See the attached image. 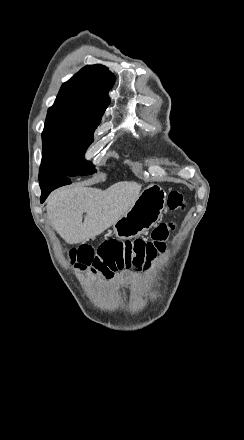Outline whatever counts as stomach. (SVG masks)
<instances>
[{
	"label": "stomach",
	"instance_id": "stomach-1",
	"mask_svg": "<svg viewBox=\"0 0 244 440\" xmlns=\"http://www.w3.org/2000/svg\"><path fill=\"white\" fill-rule=\"evenodd\" d=\"M166 192L157 184L147 186L128 212L113 224L119 240H132L148 232L160 220L166 204Z\"/></svg>",
	"mask_w": 244,
	"mask_h": 440
}]
</instances>
